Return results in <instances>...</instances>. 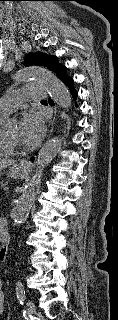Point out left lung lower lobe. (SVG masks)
I'll return each mask as SVG.
<instances>
[{"instance_id": "obj_1", "label": "left lung lower lobe", "mask_w": 118, "mask_h": 320, "mask_svg": "<svg viewBox=\"0 0 118 320\" xmlns=\"http://www.w3.org/2000/svg\"><path fill=\"white\" fill-rule=\"evenodd\" d=\"M62 80L70 88L72 96L74 97V99H76L77 98V92H76L75 89H73V83H74L73 79L70 76H68L67 73H65L62 76ZM50 104L53 105V102L50 101Z\"/></svg>"}]
</instances>
